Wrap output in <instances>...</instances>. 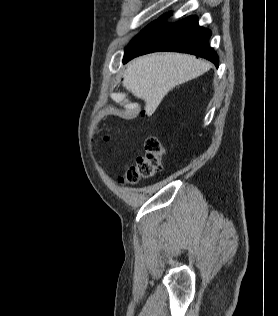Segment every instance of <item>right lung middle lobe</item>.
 Segmentation results:
<instances>
[{
  "label": "right lung middle lobe",
  "instance_id": "right-lung-middle-lobe-1",
  "mask_svg": "<svg viewBox=\"0 0 278 316\" xmlns=\"http://www.w3.org/2000/svg\"><path fill=\"white\" fill-rule=\"evenodd\" d=\"M156 22V21H155ZM151 23L149 24L145 29L142 30V32L132 41V43L126 48V50H128L129 48H131L135 43L138 42V40L149 30V28L155 23Z\"/></svg>",
  "mask_w": 278,
  "mask_h": 316
}]
</instances>
